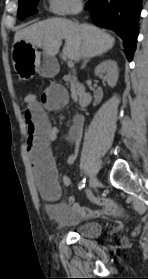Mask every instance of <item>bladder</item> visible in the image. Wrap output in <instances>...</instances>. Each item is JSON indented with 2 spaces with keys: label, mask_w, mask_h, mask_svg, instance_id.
I'll return each instance as SVG.
<instances>
[{
  "label": "bladder",
  "mask_w": 148,
  "mask_h": 279,
  "mask_svg": "<svg viewBox=\"0 0 148 279\" xmlns=\"http://www.w3.org/2000/svg\"><path fill=\"white\" fill-rule=\"evenodd\" d=\"M75 234L84 238H98L103 232V227L98 222H82L70 228Z\"/></svg>",
  "instance_id": "obj_1"
}]
</instances>
